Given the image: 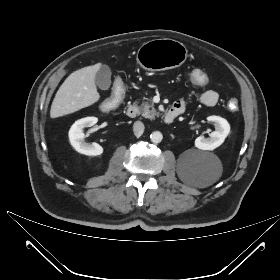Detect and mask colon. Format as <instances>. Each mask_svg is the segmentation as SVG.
Instances as JSON below:
<instances>
[{
    "label": "colon",
    "mask_w": 280,
    "mask_h": 280,
    "mask_svg": "<svg viewBox=\"0 0 280 280\" xmlns=\"http://www.w3.org/2000/svg\"><path fill=\"white\" fill-rule=\"evenodd\" d=\"M187 78L189 82L198 87H207L212 82V77L209 73L203 72L199 68H194L188 71ZM125 95V87L121 81L117 82L113 88L110 99L104 103V109L107 111L109 108H113L118 105ZM228 108L232 111L238 109V101L231 99L228 102Z\"/></svg>",
    "instance_id": "1"
}]
</instances>
